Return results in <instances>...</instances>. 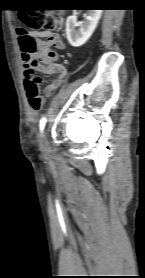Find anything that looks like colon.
I'll list each match as a JSON object with an SVG mask.
<instances>
[{"mask_svg": "<svg viewBox=\"0 0 145 278\" xmlns=\"http://www.w3.org/2000/svg\"><path fill=\"white\" fill-rule=\"evenodd\" d=\"M58 25V18L51 13L26 10L20 14V26L17 27L16 32L23 59L30 61V65L24 70V87L28 105L33 111H39L43 107V98L39 89L40 78L36 75L33 67L42 58L54 62L56 52L50 47L41 46L35 38L27 35L26 32H52Z\"/></svg>", "mask_w": 145, "mask_h": 278, "instance_id": "1", "label": "colon"}]
</instances>
